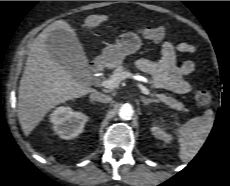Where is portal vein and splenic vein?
I'll return each instance as SVG.
<instances>
[{
    "mask_svg": "<svg viewBox=\"0 0 230 186\" xmlns=\"http://www.w3.org/2000/svg\"><path fill=\"white\" fill-rule=\"evenodd\" d=\"M130 77L137 79V77L133 76L131 73L124 72L120 76L112 77V78L107 79V80H103L101 82V86H103L107 89H114V88H117L119 86L121 80H124L126 78H130ZM138 87L140 88V90L143 94L149 95V90L145 86H143L142 84L139 83Z\"/></svg>",
    "mask_w": 230,
    "mask_h": 186,
    "instance_id": "1",
    "label": "portal vein and splenic vein"
}]
</instances>
